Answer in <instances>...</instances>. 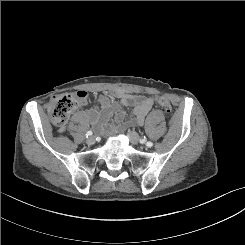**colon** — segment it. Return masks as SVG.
Segmentation results:
<instances>
[{
  "label": "colon",
  "mask_w": 245,
  "mask_h": 245,
  "mask_svg": "<svg viewBox=\"0 0 245 245\" xmlns=\"http://www.w3.org/2000/svg\"><path fill=\"white\" fill-rule=\"evenodd\" d=\"M87 98V92L78 91L74 94H62L51 99L48 113L52 122L60 127H64L73 109ZM158 105L166 112H172V104L164 96L156 98Z\"/></svg>",
  "instance_id": "1"
}]
</instances>
